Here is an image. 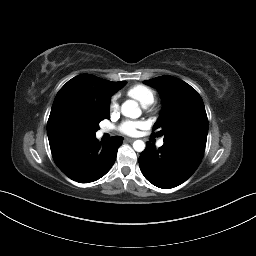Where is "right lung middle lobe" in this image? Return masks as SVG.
Masks as SVG:
<instances>
[{"mask_svg": "<svg viewBox=\"0 0 256 256\" xmlns=\"http://www.w3.org/2000/svg\"><path fill=\"white\" fill-rule=\"evenodd\" d=\"M126 83V81H122L120 88ZM103 119H109V115H98L93 119H84L76 115H70L64 120L62 137L93 135L99 129V122Z\"/></svg>", "mask_w": 256, "mask_h": 256, "instance_id": "1", "label": "right lung middle lobe"}]
</instances>
